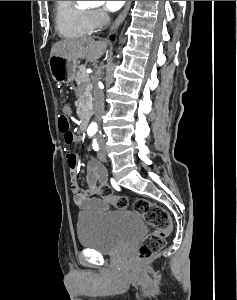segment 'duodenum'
Here are the masks:
<instances>
[{"label":"duodenum","instance_id":"1","mask_svg":"<svg viewBox=\"0 0 237 300\" xmlns=\"http://www.w3.org/2000/svg\"><path fill=\"white\" fill-rule=\"evenodd\" d=\"M88 127V118L85 115H81L80 121H79V131L85 132Z\"/></svg>","mask_w":237,"mask_h":300}]
</instances>
